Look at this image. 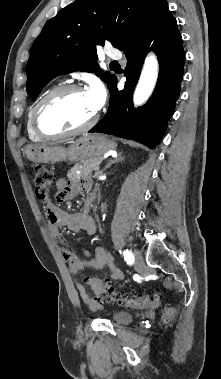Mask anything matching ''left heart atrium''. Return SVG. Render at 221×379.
I'll return each instance as SVG.
<instances>
[{"instance_id": "left-heart-atrium-1", "label": "left heart atrium", "mask_w": 221, "mask_h": 379, "mask_svg": "<svg viewBox=\"0 0 221 379\" xmlns=\"http://www.w3.org/2000/svg\"><path fill=\"white\" fill-rule=\"evenodd\" d=\"M84 93L95 112L105 103L106 91L102 83L98 80L91 81L88 89Z\"/></svg>"}]
</instances>
